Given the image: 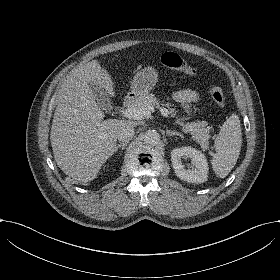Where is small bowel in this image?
Returning a JSON list of instances; mask_svg holds the SVG:
<instances>
[{"label": "small bowel", "instance_id": "c3829d8e", "mask_svg": "<svg viewBox=\"0 0 280 280\" xmlns=\"http://www.w3.org/2000/svg\"><path fill=\"white\" fill-rule=\"evenodd\" d=\"M173 98L176 102L180 103L186 114H190L192 111V105L200 102L199 94L192 89H182L173 93Z\"/></svg>", "mask_w": 280, "mask_h": 280}]
</instances>
